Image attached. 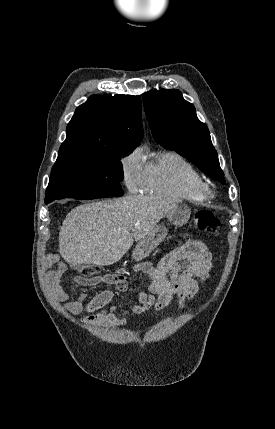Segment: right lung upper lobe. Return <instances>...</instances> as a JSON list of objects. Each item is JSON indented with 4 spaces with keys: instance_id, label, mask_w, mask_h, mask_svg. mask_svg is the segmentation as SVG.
Instances as JSON below:
<instances>
[{
    "instance_id": "cb5924a9",
    "label": "right lung upper lobe",
    "mask_w": 275,
    "mask_h": 429,
    "mask_svg": "<svg viewBox=\"0 0 275 429\" xmlns=\"http://www.w3.org/2000/svg\"><path fill=\"white\" fill-rule=\"evenodd\" d=\"M59 156L131 153L143 138L141 99L131 95H92L67 126Z\"/></svg>"
}]
</instances>
